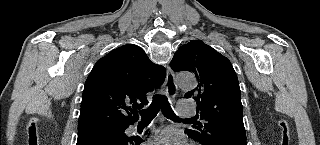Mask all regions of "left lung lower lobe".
<instances>
[{
  "label": "left lung lower lobe",
  "instance_id": "left-lung-lower-lobe-1",
  "mask_svg": "<svg viewBox=\"0 0 320 145\" xmlns=\"http://www.w3.org/2000/svg\"><path fill=\"white\" fill-rule=\"evenodd\" d=\"M216 145H247V144H246V139L236 137V136H225L221 138Z\"/></svg>",
  "mask_w": 320,
  "mask_h": 145
}]
</instances>
